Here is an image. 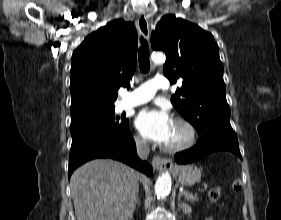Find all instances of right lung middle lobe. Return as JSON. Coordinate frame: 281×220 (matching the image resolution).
<instances>
[{
    "label": "right lung middle lobe",
    "mask_w": 281,
    "mask_h": 220,
    "mask_svg": "<svg viewBox=\"0 0 281 220\" xmlns=\"http://www.w3.org/2000/svg\"><path fill=\"white\" fill-rule=\"evenodd\" d=\"M129 120L125 115L115 116L114 108L87 114L71 119L70 131L72 137L86 132L106 131L118 133L128 129Z\"/></svg>",
    "instance_id": "obj_1"
}]
</instances>
